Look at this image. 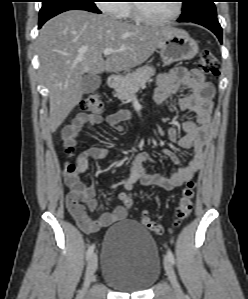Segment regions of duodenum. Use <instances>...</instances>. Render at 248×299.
I'll return each mask as SVG.
<instances>
[{"label": "duodenum", "mask_w": 248, "mask_h": 299, "mask_svg": "<svg viewBox=\"0 0 248 299\" xmlns=\"http://www.w3.org/2000/svg\"><path fill=\"white\" fill-rule=\"evenodd\" d=\"M108 86L110 88H115L119 84V77L111 75L107 80Z\"/></svg>", "instance_id": "obj_1"}]
</instances>
